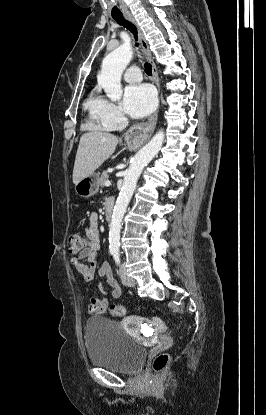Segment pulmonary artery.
I'll return each mask as SVG.
<instances>
[{
    "label": "pulmonary artery",
    "mask_w": 266,
    "mask_h": 415,
    "mask_svg": "<svg viewBox=\"0 0 266 415\" xmlns=\"http://www.w3.org/2000/svg\"><path fill=\"white\" fill-rule=\"evenodd\" d=\"M124 79L127 82H139L142 79L141 71L137 66H130L124 73Z\"/></svg>",
    "instance_id": "pulmonary-artery-1"
}]
</instances>
